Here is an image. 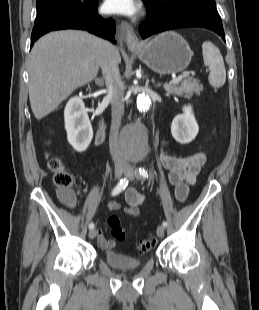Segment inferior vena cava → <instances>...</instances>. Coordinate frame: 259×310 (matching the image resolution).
Returning a JSON list of instances; mask_svg holds the SVG:
<instances>
[{"instance_id": "1", "label": "inferior vena cava", "mask_w": 259, "mask_h": 310, "mask_svg": "<svg viewBox=\"0 0 259 310\" xmlns=\"http://www.w3.org/2000/svg\"><path fill=\"white\" fill-rule=\"evenodd\" d=\"M114 47L109 46L108 52L101 60V69L105 78L108 95L111 98L112 120L110 130V152L116 165L124 164L125 159L118 146V131L124 113V88L119 72L118 61L114 53Z\"/></svg>"}]
</instances>
